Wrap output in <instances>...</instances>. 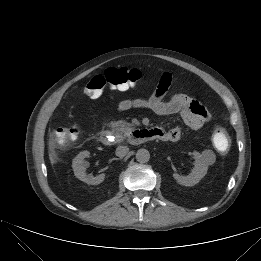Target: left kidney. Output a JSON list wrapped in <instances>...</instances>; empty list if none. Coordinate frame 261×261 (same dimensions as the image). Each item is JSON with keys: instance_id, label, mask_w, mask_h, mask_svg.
<instances>
[{"instance_id": "5707ae66", "label": "left kidney", "mask_w": 261, "mask_h": 261, "mask_svg": "<svg viewBox=\"0 0 261 261\" xmlns=\"http://www.w3.org/2000/svg\"><path fill=\"white\" fill-rule=\"evenodd\" d=\"M192 155L195 159V167L192 169V172L187 176H182L177 173L173 174L174 179L180 185L194 186L207 174L208 165L203 160L202 155L197 151H194Z\"/></svg>"}]
</instances>
